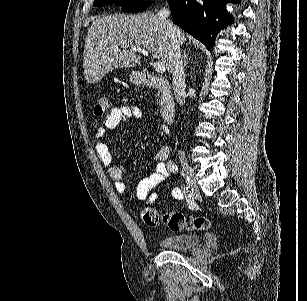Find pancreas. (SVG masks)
I'll use <instances>...</instances> for the list:
<instances>
[{
	"label": "pancreas",
	"mask_w": 307,
	"mask_h": 301,
	"mask_svg": "<svg viewBox=\"0 0 307 301\" xmlns=\"http://www.w3.org/2000/svg\"><path fill=\"white\" fill-rule=\"evenodd\" d=\"M157 96H161L160 92H158Z\"/></svg>",
	"instance_id": "pancreas-1"
}]
</instances>
